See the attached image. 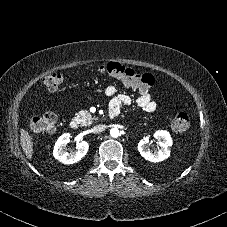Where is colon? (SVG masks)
Returning a JSON list of instances; mask_svg holds the SVG:
<instances>
[{
	"label": "colon",
	"instance_id": "obj_1",
	"mask_svg": "<svg viewBox=\"0 0 227 227\" xmlns=\"http://www.w3.org/2000/svg\"><path fill=\"white\" fill-rule=\"evenodd\" d=\"M98 71L122 82L125 86L146 92L154 83L153 76L148 73H139L131 68H126L117 62H108L101 65ZM63 83L61 73H52L43 79V86L49 92L57 91ZM57 123V115L49 112L29 119V126L36 133H49ZM190 120L185 112L178 113L172 120V129L184 132L189 128Z\"/></svg>",
	"mask_w": 227,
	"mask_h": 227
}]
</instances>
